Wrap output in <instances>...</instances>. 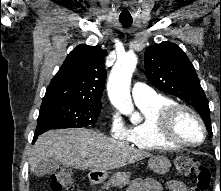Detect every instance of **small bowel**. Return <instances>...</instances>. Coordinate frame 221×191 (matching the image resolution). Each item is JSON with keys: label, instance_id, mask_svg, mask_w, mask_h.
Returning <instances> with one entry per match:
<instances>
[{"label": "small bowel", "instance_id": "1", "mask_svg": "<svg viewBox=\"0 0 221 191\" xmlns=\"http://www.w3.org/2000/svg\"><path fill=\"white\" fill-rule=\"evenodd\" d=\"M165 188L169 191H189L187 185L179 180L166 182ZM128 191H162V187L151 179H135L130 184Z\"/></svg>", "mask_w": 221, "mask_h": 191}]
</instances>
